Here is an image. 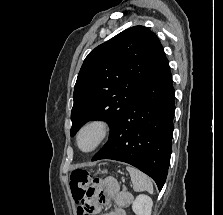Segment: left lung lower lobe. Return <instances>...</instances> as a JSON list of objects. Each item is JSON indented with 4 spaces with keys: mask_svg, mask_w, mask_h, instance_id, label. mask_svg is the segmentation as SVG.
Masks as SVG:
<instances>
[{
    "mask_svg": "<svg viewBox=\"0 0 223 215\" xmlns=\"http://www.w3.org/2000/svg\"><path fill=\"white\" fill-rule=\"evenodd\" d=\"M174 96L166 59L126 109L92 161L112 159L129 163L152 177L161 190L172 150Z\"/></svg>",
    "mask_w": 223,
    "mask_h": 215,
    "instance_id": "obj_1",
    "label": "left lung lower lobe"
}]
</instances>
